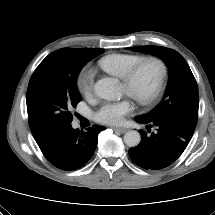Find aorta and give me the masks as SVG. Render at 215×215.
Segmentation results:
<instances>
[{
    "label": "aorta",
    "instance_id": "762f6f07",
    "mask_svg": "<svg viewBox=\"0 0 215 215\" xmlns=\"http://www.w3.org/2000/svg\"><path fill=\"white\" fill-rule=\"evenodd\" d=\"M95 94L105 100H118L122 92L119 82L114 78H102L94 85ZM141 141L138 131L131 130L125 133L124 142L129 147H136Z\"/></svg>",
    "mask_w": 215,
    "mask_h": 215
}]
</instances>
